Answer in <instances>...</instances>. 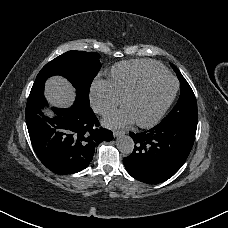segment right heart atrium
<instances>
[{"label": "right heart atrium", "instance_id": "d8ad5b80", "mask_svg": "<svg viewBox=\"0 0 228 228\" xmlns=\"http://www.w3.org/2000/svg\"><path fill=\"white\" fill-rule=\"evenodd\" d=\"M90 101L97 113L105 114L121 105L123 98L110 80H96L91 87Z\"/></svg>", "mask_w": 228, "mask_h": 228}]
</instances>
